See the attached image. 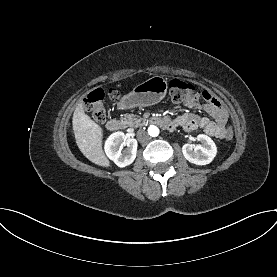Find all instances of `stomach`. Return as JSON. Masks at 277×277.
I'll return each mask as SVG.
<instances>
[{
	"label": "stomach",
	"instance_id": "obj_1",
	"mask_svg": "<svg viewBox=\"0 0 277 277\" xmlns=\"http://www.w3.org/2000/svg\"><path fill=\"white\" fill-rule=\"evenodd\" d=\"M168 89L167 80L162 76H153L134 87L132 92L123 96L119 106L131 109L139 106H151L160 102Z\"/></svg>",
	"mask_w": 277,
	"mask_h": 277
}]
</instances>
